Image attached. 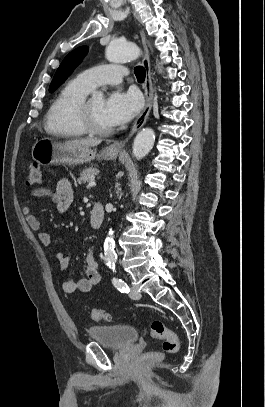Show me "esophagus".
Segmentation results:
<instances>
[{"mask_svg": "<svg viewBox=\"0 0 265 407\" xmlns=\"http://www.w3.org/2000/svg\"><path fill=\"white\" fill-rule=\"evenodd\" d=\"M141 39H142V44L144 47V57L142 60L143 67L145 69V82L143 85V92L145 96V106L140 115L137 117L136 121L134 122L129 134L122 140L116 141L113 144L110 145V149L114 151H119L121 150L126 142L140 129L143 127L145 124L152 106H153V84H152V79H151V69H150V56H149V50H148V44H147V39L144 34V32L141 30Z\"/></svg>", "mask_w": 265, "mask_h": 407, "instance_id": "obj_1", "label": "esophagus"}]
</instances>
